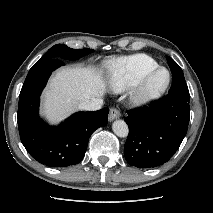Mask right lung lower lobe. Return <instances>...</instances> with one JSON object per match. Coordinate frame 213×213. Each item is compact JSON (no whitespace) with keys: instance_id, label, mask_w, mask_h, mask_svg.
<instances>
[{"instance_id":"1","label":"right lung lower lobe","mask_w":213,"mask_h":213,"mask_svg":"<svg viewBox=\"0 0 213 213\" xmlns=\"http://www.w3.org/2000/svg\"><path fill=\"white\" fill-rule=\"evenodd\" d=\"M62 65L64 62L60 59L35 64L19 96L17 116L21 142L33 158L50 167L79 163L91 134L108 122V108L75 113L57 127H51L40 119V94L51 73Z\"/></svg>"}]
</instances>
